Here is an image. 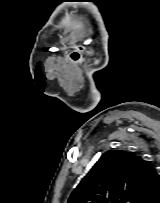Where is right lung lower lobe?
Listing matches in <instances>:
<instances>
[{
  "label": "right lung lower lobe",
  "mask_w": 160,
  "mask_h": 203,
  "mask_svg": "<svg viewBox=\"0 0 160 203\" xmlns=\"http://www.w3.org/2000/svg\"><path fill=\"white\" fill-rule=\"evenodd\" d=\"M151 203H160V196L151 201Z\"/></svg>",
  "instance_id": "1"
}]
</instances>
